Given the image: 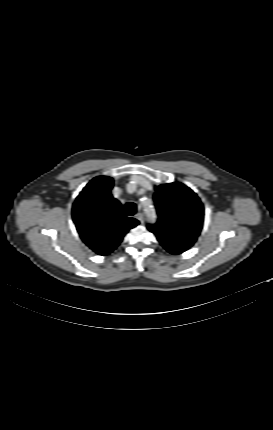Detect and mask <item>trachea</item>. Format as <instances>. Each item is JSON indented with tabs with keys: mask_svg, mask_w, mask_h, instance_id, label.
Wrapping results in <instances>:
<instances>
[{
	"mask_svg": "<svg viewBox=\"0 0 273 430\" xmlns=\"http://www.w3.org/2000/svg\"><path fill=\"white\" fill-rule=\"evenodd\" d=\"M125 209H126V215L132 216L136 213L137 206L133 202H128L125 206Z\"/></svg>",
	"mask_w": 273,
	"mask_h": 430,
	"instance_id": "1",
	"label": "trachea"
}]
</instances>
